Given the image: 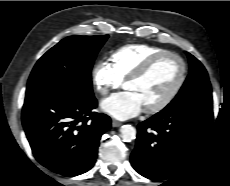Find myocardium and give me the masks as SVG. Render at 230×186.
Masks as SVG:
<instances>
[{
  "label": "myocardium",
  "instance_id": "f54148a6",
  "mask_svg": "<svg viewBox=\"0 0 230 186\" xmlns=\"http://www.w3.org/2000/svg\"><path fill=\"white\" fill-rule=\"evenodd\" d=\"M172 57L175 58L181 65V72L179 79L173 86V88L170 90V92L157 104L144 108V112L148 114H154L162 111L165 109L178 95L180 90L182 89L183 85L185 84L186 78H187V73H188V67L185 62V60L178 55L177 53L166 51L162 52L160 54H157L151 58H149L140 68H138L133 74H131L126 80L125 83L132 82V81H137L145 77L151 70L152 68L161 60Z\"/></svg>",
  "mask_w": 230,
  "mask_h": 186
}]
</instances>
